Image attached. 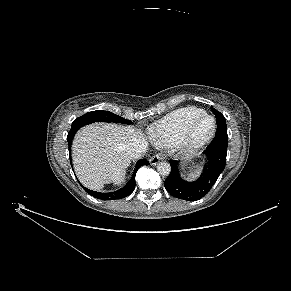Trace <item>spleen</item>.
Returning a JSON list of instances; mask_svg holds the SVG:
<instances>
[{"instance_id":"spleen-1","label":"spleen","mask_w":291,"mask_h":291,"mask_svg":"<svg viewBox=\"0 0 291 291\" xmlns=\"http://www.w3.org/2000/svg\"><path fill=\"white\" fill-rule=\"evenodd\" d=\"M202 169H203L202 167H198L197 169H195L194 171H192L191 173H189L188 176H187V178L189 180H194V179L198 178L199 175H200V173H201V171H202Z\"/></svg>"}]
</instances>
